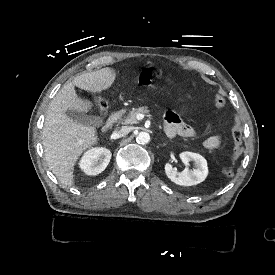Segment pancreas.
Here are the masks:
<instances>
[{
    "label": "pancreas",
    "instance_id": "obj_1",
    "mask_svg": "<svg viewBox=\"0 0 275 275\" xmlns=\"http://www.w3.org/2000/svg\"><path fill=\"white\" fill-rule=\"evenodd\" d=\"M142 113V114H147L149 113L148 107L143 106L139 108H134L130 112L126 114V110L122 109L117 112L118 114V122L124 125H131V124H137L138 120L136 118L137 114Z\"/></svg>",
    "mask_w": 275,
    "mask_h": 275
}]
</instances>
